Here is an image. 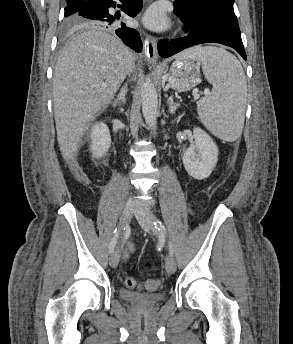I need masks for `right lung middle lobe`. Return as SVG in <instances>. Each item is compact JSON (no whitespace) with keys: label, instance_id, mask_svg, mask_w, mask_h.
Masks as SVG:
<instances>
[{"label":"right lung middle lobe","instance_id":"1","mask_svg":"<svg viewBox=\"0 0 293 344\" xmlns=\"http://www.w3.org/2000/svg\"><path fill=\"white\" fill-rule=\"evenodd\" d=\"M81 3L68 5L65 8L64 32L69 33L79 28L97 27L95 22L89 21L78 15Z\"/></svg>","mask_w":293,"mask_h":344}]
</instances>
